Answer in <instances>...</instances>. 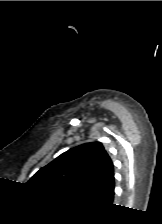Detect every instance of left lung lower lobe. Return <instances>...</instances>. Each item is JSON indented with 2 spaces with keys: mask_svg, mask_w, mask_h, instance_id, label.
I'll return each instance as SVG.
<instances>
[{
  "mask_svg": "<svg viewBox=\"0 0 162 224\" xmlns=\"http://www.w3.org/2000/svg\"><path fill=\"white\" fill-rule=\"evenodd\" d=\"M114 186V174H112L98 190L91 193L86 199L92 202L111 205L114 197Z\"/></svg>",
  "mask_w": 162,
  "mask_h": 224,
  "instance_id": "1",
  "label": "left lung lower lobe"
}]
</instances>
